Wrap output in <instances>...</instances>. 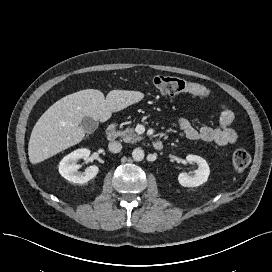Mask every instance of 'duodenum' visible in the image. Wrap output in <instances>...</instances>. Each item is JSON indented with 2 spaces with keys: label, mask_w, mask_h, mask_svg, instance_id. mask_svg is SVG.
<instances>
[{
  "label": "duodenum",
  "mask_w": 272,
  "mask_h": 272,
  "mask_svg": "<svg viewBox=\"0 0 272 272\" xmlns=\"http://www.w3.org/2000/svg\"><path fill=\"white\" fill-rule=\"evenodd\" d=\"M106 137L109 141H114L117 138V128L115 124H111L106 132ZM153 148L155 150H162L163 149V143L160 140L153 142Z\"/></svg>",
  "instance_id": "1"
}]
</instances>
